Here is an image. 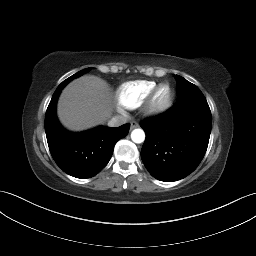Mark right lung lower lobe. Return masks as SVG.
<instances>
[{"instance_id": "right-lung-lower-lobe-1", "label": "right lung lower lobe", "mask_w": 256, "mask_h": 256, "mask_svg": "<svg viewBox=\"0 0 256 256\" xmlns=\"http://www.w3.org/2000/svg\"><path fill=\"white\" fill-rule=\"evenodd\" d=\"M64 86L54 92L45 115V132L51 155L56 164L76 178H90L109 162L116 142L125 137L130 124L117 128L99 126L86 132L65 130L56 117V103Z\"/></svg>"}]
</instances>
